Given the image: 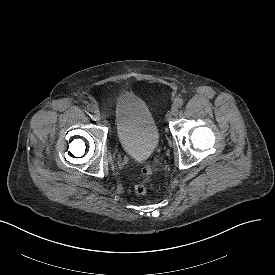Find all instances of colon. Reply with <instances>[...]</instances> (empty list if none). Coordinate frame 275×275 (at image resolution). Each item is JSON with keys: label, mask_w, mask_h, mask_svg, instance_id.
I'll return each mask as SVG.
<instances>
[{"label": "colon", "mask_w": 275, "mask_h": 275, "mask_svg": "<svg viewBox=\"0 0 275 275\" xmlns=\"http://www.w3.org/2000/svg\"><path fill=\"white\" fill-rule=\"evenodd\" d=\"M153 168L151 166H145L141 170L142 179L137 182L134 187L133 191L138 196H143L147 193L148 183L152 177Z\"/></svg>", "instance_id": "1"}]
</instances>
